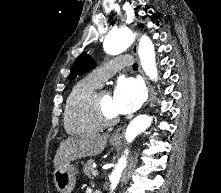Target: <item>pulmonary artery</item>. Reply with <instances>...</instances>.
Instances as JSON below:
<instances>
[{"label":"pulmonary artery","instance_id":"1","mask_svg":"<svg viewBox=\"0 0 221 193\" xmlns=\"http://www.w3.org/2000/svg\"><path fill=\"white\" fill-rule=\"evenodd\" d=\"M132 62L133 59L131 56H121L113 59L105 66L95 69L90 76L94 81L101 85L105 80L114 75L119 69L123 67H129Z\"/></svg>","mask_w":221,"mask_h":193}]
</instances>
